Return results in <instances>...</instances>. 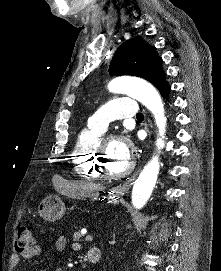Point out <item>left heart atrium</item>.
Segmentation results:
<instances>
[{
  "label": "left heart atrium",
  "instance_id": "obj_1",
  "mask_svg": "<svg viewBox=\"0 0 221 271\" xmlns=\"http://www.w3.org/2000/svg\"><path fill=\"white\" fill-rule=\"evenodd\" d=\"M129 148H112V152H109V157H128Z\"/></svg>",
  "mask_w": 221,
  "mask_h": 271
}]
</instances>
